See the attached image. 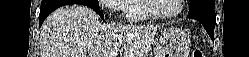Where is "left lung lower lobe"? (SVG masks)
Segmentation results:
<instances>
[{"mask_svg":"<svg viewBox=\"0 0 249 57\" xmlns=\"http://www.w3.org/2000/svg\"><path fill=\"white\" fill-rule=\"evenodd\" d=\"M187 17L201 22L211 39L214 40V28L216 23L214 9L208 8L197 12L188 13Z\"/></svg>","mask_w":249,"mask_h":57,"instance_id":"obj_1","label":"left lung lower lobe"}]
</instances>
